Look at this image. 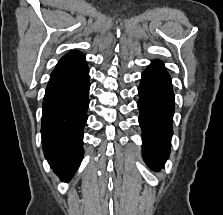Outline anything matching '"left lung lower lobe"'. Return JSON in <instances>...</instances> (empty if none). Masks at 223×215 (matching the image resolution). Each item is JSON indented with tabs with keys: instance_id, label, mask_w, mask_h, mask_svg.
Returning a JSON list of instances; mask_svg holds the SVG:
<instances>
[{
	"instance_id": "1",
	"label": "left lung lower lobe",
	"mask_w": 223,
	"mask_h": 215,
	"mask_svg": "<svg viewBox=\"0 0 223 215\" xmlns=\"http://www.w3.org/2000/svg\"><path fill=\"white\" fill-rule=\"evenodd\" d=\"M138 92L143 157L148 166L159 170L169 157L174 114L171 78L160 61L153 60L142 73Z\"/></svg>"
}]
</instances>
